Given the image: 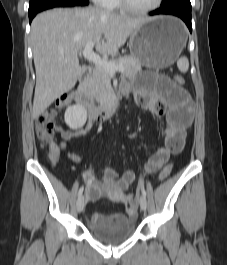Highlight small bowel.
<instances>
[{"mask_svg": "<svg viewBox=\"0 0 227 265\" xmlns=\"http://www.w3.org/2000/svg\"><path fill=\"white\" fill-rule=\"evenodd\" d=\"M133 83L124 82L120 89L125 94L133 91L136 104L156 115L165 116L164 144L150 157L145 165V172L152 174L158 171L171 154L182 150L186 136V129L192 123L193 105L186 90L176 85L170 78L159 72H137ZM94 121L89 119L85 126L68 130L59 127L61 142L50 147V158L55 163L61 152H64L73 162H80V158L67 150L70 140L87 135L92 129ZM87 195L90 201H96L107 190L121 201L126 200V190L135 180V173L126 170L121 175L112 168H103L98 176L86 173ZM129 219L126 214L117 213L106 216L99 213L91 215V222L99 226L117 225Z\"/></svg>", "mask_w": 227, "mask_h": 265, "instance_id": "small-bowel-1", "label": "small bowel"}]
</instances>
